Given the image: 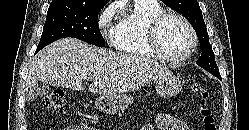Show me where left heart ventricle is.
Returning <instances> with one entry per match:
<instances>
[{"instance_id": "b2bd125f", "label": "left heart ventricle", "mask_w": 249, "mask_h": 130, "mask_svg": "<svg viewBox=\"0 0 249 130\" xmlns=\"http://www.w3.org/2000/svg\"><path fill=\"white\" fill-rule=\"evenodd\" d=\"M160 43L167 54L179 57L188 51L191 38L187 28L181 21L170 18L161 28Z\"/></svg>"}]
</instances>
